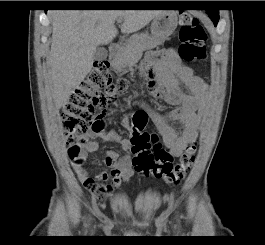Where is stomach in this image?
<instances>
[{"label":"stomach","instance_id":"stomach-1","mask_svg":"<svg viewBox=\"0 0 265 245\" xmlns=\"http://www.w3.org/2000/svg\"><path fill=\"white\" fill-rule=\"evenodd\" d=\"M177 24V13L174 11H165L153 19L151 23V34L155 39L166 38L173 34Z\"/></svg>","mask_w":265,"mask_h":245}]
</instances>
